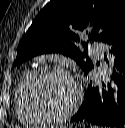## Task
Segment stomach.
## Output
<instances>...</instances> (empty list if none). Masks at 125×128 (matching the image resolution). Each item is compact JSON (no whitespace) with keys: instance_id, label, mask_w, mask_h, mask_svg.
I'll return each mask as SVG.
<instances>
[{"instance_id":"stomach-1","label":"stomach","mask_w":125,"mask_h":128,"mask_svg":"<svg viewBox=\"0 0 125 128\" xmlns=\"http://www.w3.org/2000/svg\"><path fill=\"white\" fill-rule=\"evenodd\" d=\"M60 128H68V127H60Z\"/></svg>"}]
</instances>
